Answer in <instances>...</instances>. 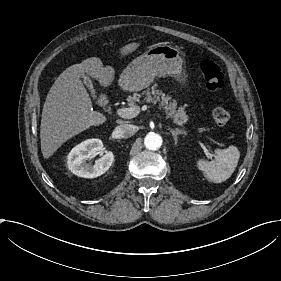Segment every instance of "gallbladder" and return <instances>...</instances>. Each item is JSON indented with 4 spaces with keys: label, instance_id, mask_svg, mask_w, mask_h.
<instances>
[{
    "label": "gallbladder",
    "instance_id": "1",
    "mask_svg": "<svg viewBox=\"0 0 281 281\" xmlns=\"http://www.w3.org/2000/svg\"><path fill=\"white\" fill-rule=\"evenodd\" d=\"M84 83H85V85L89 88V90H90V92H91L93 98H95V93H96V92H95V90H94V88H93L92 81H91L88 77H85V78H84Z\"/></svg>",
    "mask_w": 281,
    "mask_h": 281
}]
</instances>
